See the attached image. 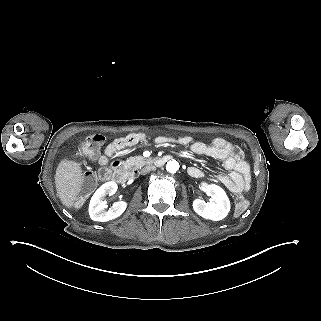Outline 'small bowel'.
Instances as JSON below:
<instances>
[{
    "label": "small bowel",
    "instance_id": "small-bowel-1",
    "mask_svg": "<svg viewBox=\"0 0 321 321\" xmlns=\"http://www.w3.org/2000/svg\"><path fill=\"white\" fill-rule=\"evenodd\" d=\"M146 139L147 136L143 133H132L125 137L115 139L106 147L103 161L105 162L108 157L113 156L118 150L134 146ZM154 142L157 144L175 142L189 146L191 151L195 154L205 155L220 160L222 161L224 168L230 171V173L218 175L217 179L219 182L233 193H241L250 188V166L248 162L244 160L242 150L223 138H215L210 144H206L201 141H193L189 136H182L179 138L158 136L154 139ZM101 173L103 175H108L109 170L103 167ZM189 173L196 178L204 176L203 171L198 167H190Z\"/></svg>",
    "mask_w": 321,
    "mask_h": 321
}]
</instances>
